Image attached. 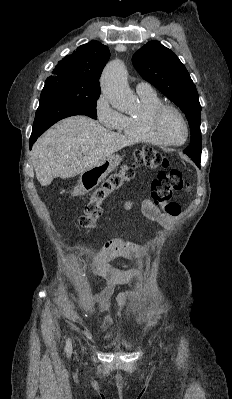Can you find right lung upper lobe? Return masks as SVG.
Listing matches in <instances>:
<instances>
[{
  "instance_id": "cb5924a9",
  "label": "right lung upper lobe",
  "mask_w": 232,
  "mask_h": 399,
  "mask_svg": "<svg viewBox=\"0 0 232 399\" xmlns=\"http://www.w3.org/2000/svg\"><path fill=\"white\" fill-rule=\"evenodd\" d=\"M110 51L98 41L81 45L71 55L63 58L46 81H59L67 85L100 91L99 78L109 60Z\"/></svg>"
}]
</instances>
